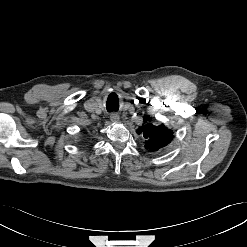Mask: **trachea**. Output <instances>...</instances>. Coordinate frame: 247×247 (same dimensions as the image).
<instances>
[{"mask_svg": "<svg viewBox=\"0 0 247 247\" xmlns=\"http://www.w3.org/2000/svg\"><path fill=\"white\" fill-rule=\"evenodd\" d=\"M119 108V103H107V111L112 112V111H117Z\"/></svg>", "mask_w": 247, "mask_h": 247, "instance_id": "trachea-1", "label": "trachea"}]
</instances>
